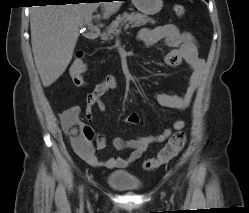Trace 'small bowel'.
Listing matches in <instances>:
<instances>
[{"label":"small bowel","mask_w":249,"mask_h":213,"mask_svg":"<svg viewBox=\"0 0 249 213\" xmlns=\"http://www.w3.org/2000/svg\"><path fill=\"white\" fill-rule=\"evenodd\" d=\"M163 40L171 51L166 56L169 66H177L184 62L190 70L187 87L181 95L156 93V102L166 108L182 111L190 106L198 88L203 73L204 61L198 55V46L194 36L186 31H181L174 24H166L156 28H143L139 32V43L143 47H151ZM117 86L115 76H107L86 97L85 112L88 119L91 118L92 109L97 106L100 111H105L102 97L106 92ZM63 130L71 135V142L76 153L89 165L100 168L122 169L138 160L153 143H161L167 140L172 132L182 130L186 122L183 119L176 120L172 126L165 128L155 136H138L130 140L115 138L113 146L116 150L130 149L126 157H110L101 159L96 151H102L107 146L103 133L95 134L91 126L80 118V108L70 107L60 114ZM124 121L129 124H137L139 116L136 113L129 114ZM77 137H80L81 145H77ZM95 142V144H94Z\"/></svg>","instance_id":"c3829d8e"}]
</instances>
